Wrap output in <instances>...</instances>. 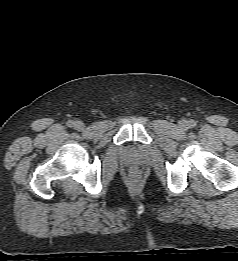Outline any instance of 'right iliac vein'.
<instances>
[{
	"label": "right iliac vein",
	"instance_id": "1",
	"mask_svg": "<svg viewBox=\"0 0 238 261\" xmlns=\"http://www.w3.org/2000/svg\"><path fill=\"white\" fill-rule=\"evenodd\" d=\"M74 128L78 131H81L84 129V123L82 121H75L74 122Z\"/></svg>",
	"mask_w": 238,
	"mask_h": 261
}]
</instances>
